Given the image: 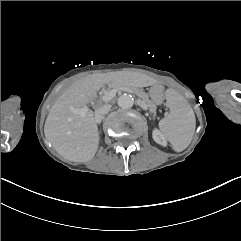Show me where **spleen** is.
Masks as SVG:
<instances>
[{
	"label": "spleen",
	"instance_id": "3e777b00",
	"mask_svg": "<svg viewBox=\"0 0 241 241\" xmlns=\"http://www.w3.org/2000/svg\"><path fill=\"white\" fill-rule=\"evenodd\" d=\"M170 114L161 119L159 127L176 152L185 150L195 131V115L189 102L173 89L166 92Z\"/></svg>",
	"mask_w": 241,
	"mask_h": 241
}]
</instances>
